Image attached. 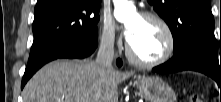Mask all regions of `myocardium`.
<instances>
[{"instance_id":"myocardium-1","label":"myocardium","mask_w":221,"mask_h":102,"mask_svg":"<svg viewBox=\"0 0 221 102\" xmlns=\"http://www.w3.org/2000/svg\"><path fill=\"white\" fill-rule=\"evenodd\" d=\"M140 16L142 18L156 22L163 29L165 36H166V41H167L166 49L159 58L148 61V60H143L142 58H140L134 52L133 48L130 45V42H128L126 45L127 56L130 59V61H132L134 64L141 66V67L152 68V67L159 66L167 62L170 59V57L173 55V52L175 50V37H174L173 31L171 27L169 26V24L161 16H159L156 13L142 12Z\"/></svg>"}]
</instances>
